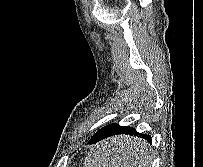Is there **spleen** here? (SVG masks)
I'll list each match as a JSON object with an SVG mask.
<instances>
[{
	"label": "spleen",
	"instance_id": "1",
	"mask_svg": "<svg viewBox=\"0 0 203 167\" xmlns=\"http://www.w3.org/2000/svg\"><path fill=\"white\" fill-rule=\"evenodd\" d=\"M111 144L101 143L96 146L86 157L85 167H150L151 154L145 142L137 139L131 140V146L137 149V152L132 154L125 153L122 149L111 148ZM128 157L132 160H128Z\"/></svg>",
	"mask_w": 203,
	"mask_h": 167
}]
</instances>
